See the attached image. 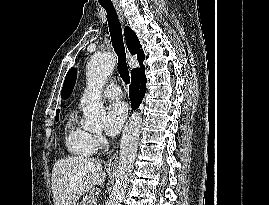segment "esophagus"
Masks as SVG:
<instances>
[{"label":"esophagus","mask_w":269,"mask_h":205,"mask_svg":"<svg viewBox=\"0 0 269 205\" xmlns=\"http://www.w3.org/2000/svg\"><path fill=\"white\" fill-rule=\"evenodd\" d=\"M117 11H118L120 20L123 22V21H124V17H123V14H122L121 9H120V8H117ZM127 58H128V59L131 58V55H130L129 52H127ZM117 159H118V150H116V152L110 157V159H109V164H116Z\"/></svg>","instance_id":"1"}]
</instances>
